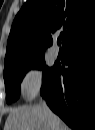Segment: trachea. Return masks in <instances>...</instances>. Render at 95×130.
I'll list each match as a JSON object with an SVG mask.
<instances>
[{
  "instance_id": "obj_1",
  "label": "trachea",
  "mask_w": 95,
  "mask_h": 130,
  "mask_svg": "<svg viewBox=\"0 0 95 130\" xmlns=\"http://www.w3.org/2000/svg\"><path fill=\"white\" fill-rule=\"evenodd\" d=\"M60 43H61V40L57 39V44L60 45Z\"/></svg>"
}]
</instances>
